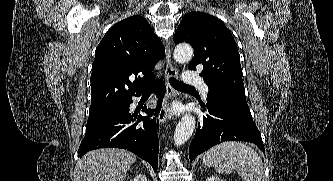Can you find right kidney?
<instances>
[{
    "mask_svg": "<svg viewBox=\"0 0 333 181\" xmlns=\"http://www.w3.org/2000/svg\"><path fill=\"white\" fill-rule=\"evenodd\" d=\"M131 181H147V177L145 174H138Z\"/></svg>",
    "mask_w": 333,
    "mask_h": 181,
    "instance_id": "obj_1",
    "label": "right kidney"
}]
</instances>
